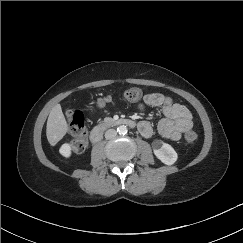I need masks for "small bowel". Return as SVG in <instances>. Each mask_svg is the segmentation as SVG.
Here are the masks:
<instances>
[{
  "instance_id": "obj_1",
  "label": "small bowel",
  "mask_w": 243,
  "mask_h": 243,
  "mask_svg": "<svg viewBox=\"0 0 243 243\" xmlns=\"http://www.w3.org/2000/svg\"><path fill=\"white\" fill-rule=\"evenodd\" d=\"M114 104L111 96H104L97 99V109L104 111ZM143 111L147 107L160 108L165 116L157 124V132L164 138L178 140L183 133L189 131L192 126V114L184 105L178 104L172 98L161 93L153 92L146 94L137 105ZM138 130L142 136L149 138L154 133V127L149 121H142L138 124Z\"/></svg>"
}]
</instances>
